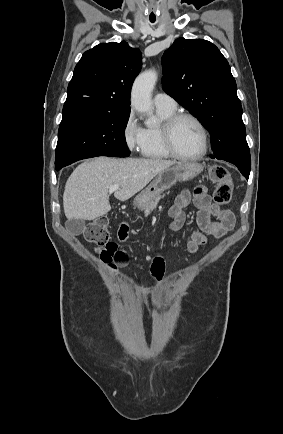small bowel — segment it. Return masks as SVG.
I'll return each mask as SVG.
<instances>
[{
	"label": "small bowel",
	"mask_w": 283,
	"mask_h": 434,
	"mask_svg": "<svg viewBox=\"0 0 283 434\" xmlns=\"http://www.w3.org/2000/svg\"><path fill=\"white\" fill-rule=\"evenodd\" d=\"M191 200H193L195 205L199 208L196 219L197 228L192 229L188 233H184L183 239L188 251L190 253H197L202 247L207 245V236L221 238L227 234V232L234 227L235 217L232 212L222 210L220 207L212 205L207 193V188L205 186H198L193 192L184 190L177 196L174 205L170 209L172 229L176 231L183 229L185 225L184 209L189 205ZM212 217H216L217 220H212ZM128 231L127 224H122L116 240L110 242L100 255L102 262L112 271H117L125 267L128 263V254L121 246V243L128 238ZM164 265L162 257H154L151 268L154 279H161L165 269Z\"/></svg>",
	"instance_id": "c3829d8e"
}]
</instances>
